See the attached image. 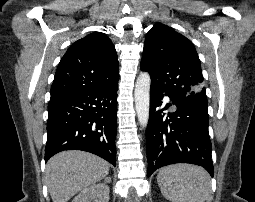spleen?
<instances>
[{
    "instance_id": "spleen-1",
    "label": "spleen",
    "mask_w": 255,
    "mask_h": 202,
    "mask_svg": "<svg viewBox=\"0 0 255 202\" xmlns=\"http://www.w3.org/2000/svg\"><path fill=\"white\" fill-rule=\"evenodd\" d=\"M162 195L171 202H209V174L201 167L177 164L162 168L157 175Z\"/></svg>"
}]
</instances>
